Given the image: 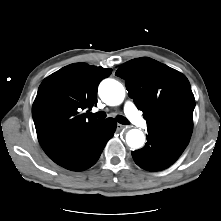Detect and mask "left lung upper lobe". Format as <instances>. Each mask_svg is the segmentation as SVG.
Here are the masks:
<instances>
[{"label": "left lung upper lobe", "mask_w": 221, "mask_h": 221, "mask_svg": "<svg viewBox=\"0 0 221 221\" xmlns=\"http://www.w3.org/2000/svg\"><path fill=\"white\" fill-rule=\"evenodd\" d=\"M116 75L125 80L128 95L143 111L148 134L184 150L192 134L195 107L188 79L149 57L124 63Z\"/></svg>", "instance_id": "1"}]
</instances>
